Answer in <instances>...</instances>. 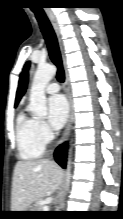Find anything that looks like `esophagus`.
<instances>
[{
	"mask_svg": "<svg viewBox=\"0 0 123 219\" xmlns=\"http://www.w3.org/2000/svg\"><path fill=\"white\" fill-rule=\"evenodd\" d=\"M50 22L52 24V27L56 33L58 42H59V47L61 51V56H62V61H63V67H64V73H65V91L68 99V106H69V115H68V121L63 133V137L61 139V143H63L69 136L70 129H71V124H72V99H71V93H70V84H69V74L67 71V65H66V58L63 50V45H62V38H61V32H60V27L58 24V21L56 17L54 16L53 13H48Z\"/></svg>",
	"mask_w": 123,
	"mask_h": 219,
	"instance_id": "esophagus-1",
	"label": "esophagus"
}]
</instances>
